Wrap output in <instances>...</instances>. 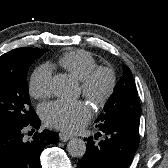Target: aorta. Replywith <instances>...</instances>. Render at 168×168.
<instances>
[{
  "label": "aorta",
  "mask_w": 168,
  "mask_h": 168,
  "mask_svg": "<svg viewBox=\"0 0 168 168\" xmlns=\"http://www.w3.org/2000/svg\"><path fill=\"white\" fill-rule=\"evenodd\" d=\"M51 89L57 97L70 98L74 96L77 85L70 76L58 74L52 80ZM67 150L72 157L81 158L86 152V143L82 139L73 138L68 142Z\"/></svg>",
  "instance_id": "1"
}]
</instances>
